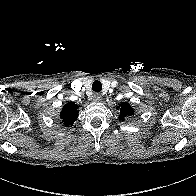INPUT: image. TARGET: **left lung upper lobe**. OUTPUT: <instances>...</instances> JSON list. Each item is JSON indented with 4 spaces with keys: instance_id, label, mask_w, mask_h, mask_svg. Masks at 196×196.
I'll list each match as a JSON object with an SVG mask.
<instances>
[{
    "instance_id": "obj_1",
    "label": "left lung upper lobe",
    "mask_w": 196,
    "mask_h": 196,
    "mask_svg": "<svg viewBox=\"0 0 196 196\" xmlns=\"http://www.w3.org/2000/svg\"><path fill=\"white\" fill-rule=\"evenodd\" d=\"M119 119L120 120H124L125 117L131 116L134 114V111L132 109V107L128 104V103H122L120 104V108H119Z\"/></svg>"
}]
</instances>
